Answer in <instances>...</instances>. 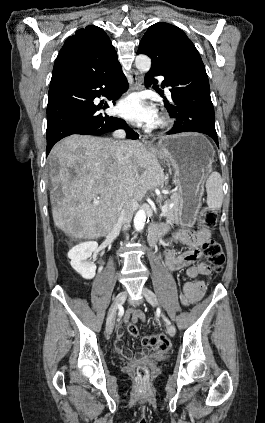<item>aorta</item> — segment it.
I'll list each match as a JSON object with an SVG mask.
<instances>
[{"mask_svg":"<svg viewBox=\"0 0 265 423\" xmlns=\"http://www.w3.org/2000/svg\"><path fill=\"white\" fill-rule=\"evenodd\" d=\"M136 68L140 72H148L151 68V59L147 55L140 54L135 59ZM146 212L144 209H140L134 216V228L136 231H141L146 223Z\"/></svg>","mask_w":265,"mask_h":423,"instance_id":"762f6f07","label":"aorta"}]
</instances>
